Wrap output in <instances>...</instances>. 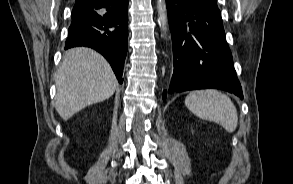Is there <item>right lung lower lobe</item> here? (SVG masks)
I'll use <instances>...</instances> for the list:
<instances>
[{
    "label": "right lung lower lobe",
    "mask_w": 293,
    "mask_h": 184,
    "mask_svg": "<svg viewBox=\"0 0 293 184\" xmlns=\"http://www.w3.org/2000/svg\"><path fill=\"white\" fill-rule=\"evenodd\" d=\"M86 46L97 50L110 63L123 83L128 48V0H107L75 4L65 49Z\"/></svg>",
    "instance_id": "1"
}]
</instances>
